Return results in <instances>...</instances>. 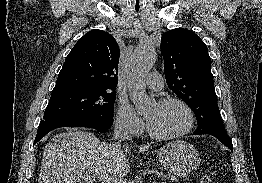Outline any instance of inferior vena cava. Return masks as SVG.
Returning a JSON list of instances; mask_svg holds the SVG:
<instances>
[{
	"instance_id": "obj_1",
	"label": "inferior vena cava",
	"mask_w": 262,
	"mask_h": 183,
	"mask_svg": "<svg viewBox=\"0 0 262 183\" xmlns=\"http://www.w3.org/2000/svg\"><path fill=\"white\" fill-rule=\"evenodd\" d=\"M114 140H132L129 134V125L125 120H119L114 126Z\"/></svg>"
}]
</instances>
